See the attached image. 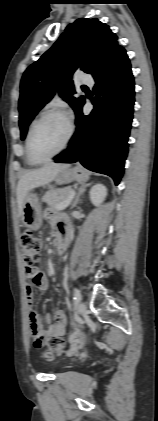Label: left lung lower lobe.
I'll return each mask as SVG.
<instances>
[{"label": "left lung lower lobe", "instance_id": "left-lung-lower-lobe-1", "mask_svg": "<svg viewBox=\"0 0 158 421\" xmlns=\"http://www.w3.org/2000/svg\"><path fill=\"white\" fill-rule=\"evenodd\" d=\"M93 77L94 109L88 116L83 115L82 107L76 113L77 130L68 148L54 160L56 163L79 161L91 171L111 176L118 184L128 153L135 94L125 49L120 46Z\"/></svg>", "mask_w": 158, "mask_h": 421}]
</instances>
